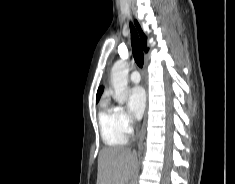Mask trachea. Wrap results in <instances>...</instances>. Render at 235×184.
<instances>
[{
	"mask_svg": "<svg viewBox=\"0 0 235 184\" xmlns=\"http://www.w3.org/2000/svg\"><path fill=\"white\" fill-rule=\"evenodd\" d=\"M131 41H132V50L135 62L139 67H143L144 55L142 47L138 35L132 25H131Z\"/></svg>",
	"mask_w": 235,
	"mask_h": 184,
	"instance_id": "3493384b",
	"label": "trachea"
}]
</instances>
